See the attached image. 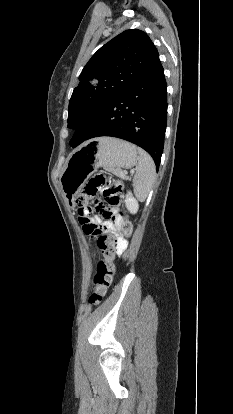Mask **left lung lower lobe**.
<instances>
[{
	"label": "left lung lower lobe",
	"mask_w": 233,
	"mask_h": 414,
	"mask_svg": "<svg viewBox=\"0 0 233 414\" xmlns=\"http://www.w3.org/2000/svg\"><path fill=\"white\" fill-rule=\"evenodd\" d=\"M166 123L167 84L158 57L140 78L77 128L70 145L74 148L100 136L121 138L146 150L158 171Z\"/></svg>",
	"instance_id": "obj_1"
}]
</instances>
